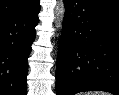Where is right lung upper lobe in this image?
<instances>
[{
    "instance_id": "right-lung-upper-lobe-1",
    "label": "right lung upper lobe",
    "mask_w": 119,
    "mask_h": 95,
    "mask_svg": "<svg viewBox=\"0 0 119 95\" xmlns=\"http://www.w3.org/2000/svg\"><path fill=\"white\" fill-rule=\"evenodd\" d=\"M37 1L38 0H0V21L25 11Z\"/></svg>"
}]
</instances>
